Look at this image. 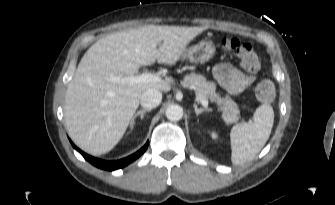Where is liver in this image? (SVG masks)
<instances>
[{"mask_svg":"<svg viewBox=\"0 0 335 205\" xmlns=\"http://www.w3.org/2000/svg\"><path fill=\"white\" fill-rule=\"evenodd\" d=\"M206 28L147 25L109 34L82 57L68 84L64 115L73 142L91 155L112 150L123 137L142 93L171 90L168 81L130 84L141 66L175 65Z\"/></svg>","mask_w":335,"mask_h":205,"instance_id":"obj_1","label":"liver"}]
</instances>
